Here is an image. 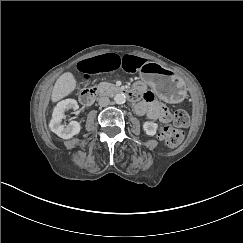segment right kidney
<instances>
[{"label": "right kidney", "mask_w": 243, "mask_h": 243, "mask_svg": "<svg viewBox=\"0 0 243 243\" xmlns=\"http://www.w3.org/2000/svg\"><path fill=\"white\" fill-rule=\"evenodd\" d=\"M70 109H78V104L75 99L61 101L52 112L50 128L58 137L63 139H70L73 136L78 135L82 129L81 123L77 121H71L65 126L63 118L65 112Z\"/></svg>", "instance_id": "ca27d5eb"}]
</instances>
